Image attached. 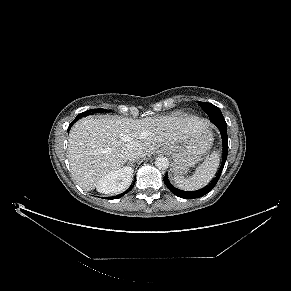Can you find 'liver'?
<instances>
[{"label": "liver", "mask_w": 291, "mask_h": 291, "mask_svg": "<svg viewBox=\"0 0 291 291\" xmlns=\"http://www.w3.org/2000/svg\"><path fill=\"white\" fill-rule=\"evenodd\" d=\"M208 127L207 121L187 115L143 119L120 116L82 118L69 134L68 157L72 176L81 188L91 191L103 176L127 162L129 146L139 147L141 157H148L159 147L180 143ZM131 181L132 177L122 191L130 186Z\"/></svg>", "instance_id": "1"}]
</instances>
